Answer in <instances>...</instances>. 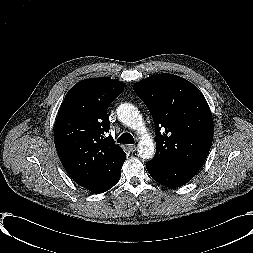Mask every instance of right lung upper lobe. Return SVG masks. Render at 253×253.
<instances>
[{"instance_id":"1","label":"right lung upper lobe","mask_w":253,"mask_h":253,"mask_svg":"<svg viewBox=\"0 0 253 253\" xmlns=\"http://www.w3.org/2000/svg\"><path fill=\"white\" fill-rule=\"evenodd\" d=\"M124 84L110 78L85 79L74 85L58 113L54 141L70 177L93 193L104 192L120 175L125 152L109 132L107 109Z\"/></svg>"}]
</instances>
